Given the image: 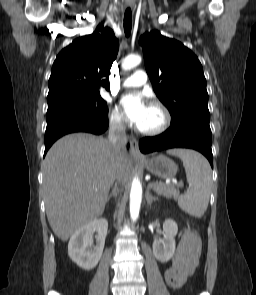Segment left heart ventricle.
<instances>
[{
	"label": "left heart ventricle",
	"instance_id": "obj_1",
	"mask_svg": "<svg viewBox=\"0 0 256 295\" xmlns=\"http://www.w3.org/2000/svg\"><path fill=\"white\" fill-rule=\"evenodd\" d=\"M159 122H160V114L154 108L149 107L148 113L145 119L143 120V122L141 123V125L139 126V128H142V129L153 128L157 126Z\"/></svg>",
	"mask_w": 256,
	"mask_h": 295
}]
</instances>
